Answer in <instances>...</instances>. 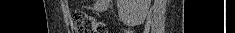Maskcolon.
I'll use <instances>...</instances> for the list:
<instances>
[{"label": "colon", "instance_id": "1", "mask_svg": "<svg viewBox=\"0 0 235 33\" xmlns=\"http://www.w3.org/2000/svg\"><path fill=\"white\" fill-rule=\"evenodd\" d=\"M72 24L76 33H106V26L96 18L83 13L73 14Z\"/></svg>", "mask_w": 235, "mask_h": 33}]
</instances>
